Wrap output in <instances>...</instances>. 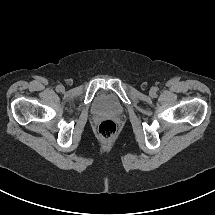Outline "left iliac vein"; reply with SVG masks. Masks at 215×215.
<instances>
[{"label":"left iliac vein","instance_id":"1","mask_svg":"<svg viewBox=\"0 0 215 215\" xmlns=\"http://www.w3.org/2000/svg\"><path fill=\"white\" fill-rule=\"evenodd\" d=\"M150 95H151L152 97H155V96H156V89H155V88H151V89H150Z\"/></svg>","mask_w":215,"mask_h":215}]
</instances>
